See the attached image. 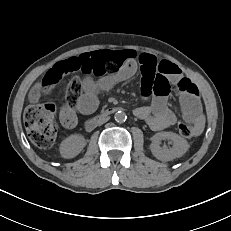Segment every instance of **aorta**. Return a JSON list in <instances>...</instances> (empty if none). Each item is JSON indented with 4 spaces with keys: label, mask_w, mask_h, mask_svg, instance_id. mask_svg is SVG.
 Wrapping results in <instances>:
<instances>
[{
    "label": "aorta",
    "mask_w": 231,
    "mask_h": 231,
    "mask_svg": "<svg viewBox=\"0 0 231 231\" xmlns=\"http://www.w3.org/2000/svg\"><path fill=\"white\" fill-rule=\"evenodd\" d=\"M126 118H127V116H126L125 112H123V111H118L114 115V119L118 123L124 122L126 120Z\"/></svg>",
    "instance_id": "aorta-1"
}]
</instances>
